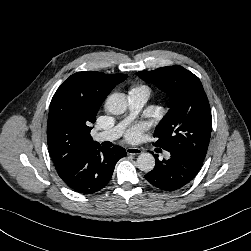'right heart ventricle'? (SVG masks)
Instances as JSON below:
<instances>
[{"label": "right heart ventricle", "mask_w": 251, "mask_h": 251, "mask_svg": "<svg viewBox=\"0 0 251 251\" xmlns=\"http://www.w3.org/2000/svg\"><path fill=\"white\" fill-rule=\"evenodd\" d=\"M138 89H144V90H147L149 92V88L146 87V86H138V87H135L134 89L132 90H138Z\"/></svg>", "instance_id": "obj_1"}]
</instances>
